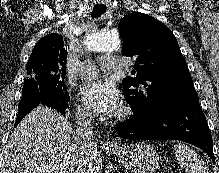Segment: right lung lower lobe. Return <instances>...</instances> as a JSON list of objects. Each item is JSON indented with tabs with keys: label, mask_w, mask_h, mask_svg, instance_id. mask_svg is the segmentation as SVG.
<instances>
[{
	"label": "right lung lower lobe",
	"mask_w": 219,
	"mask_h": 173,
	"mask_svg": "<svg viewBox=\"0 0 219 173\" xmlns=\"http://www.w3.org/2000/svg\"><path fill=\"white\" fill-rule=\"evenodd\" d=\"M40 103L48 107L54 108L62 114H65L67 112V102L61 101L54 93L47 92L42 89L39 91L29 92L26 94H22L21 101L18 105V114L14 127L18 125V123L25 115H27Z\"/></svg>",
	"instance_id": "right-lung-lower-lobe-1"
}]
</instances>
